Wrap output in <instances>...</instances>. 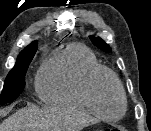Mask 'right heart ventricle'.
Segmentation results:
<instances>
[{
    "mask_svg": "<svg viewBox=\"0 0 151 131\" xmlns=\"http://www.w3.org/2000/svg\"><path fill=\"white\" fill-rule=\"evenodd\" d=\"M94 53L79 43H69L51 55L37 78V92L47 104L93 113L83 94L88 72L99 66Z\"/></svg>",
    "mask_w": 151,
    "mask_h": 131,
    "instance_id": "e07e8e85",
    "label": "right heart ventricle"
}]
</instances>
